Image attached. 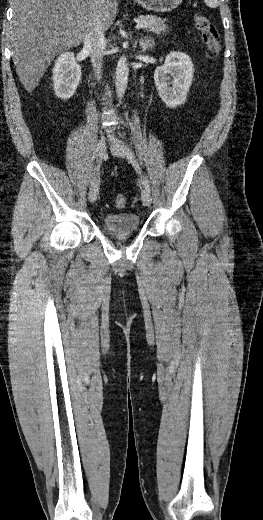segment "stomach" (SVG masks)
<instances>
[{
  "label": "stomach",
  "mask_w": 263,
  "mask_h": 520,
  "mask_svg": "<svg viewBox=\"0 0 263 520\" xmlns=\"http://www.w3.org/2000/svg\"><path fill=\"white\" fill-rule=\"evenodd\" d=\"M148 11L154 12H169L177 8L182 0H134Z\"/></svg>",
  "instance_id": "obj_1"
}]
</instances>
